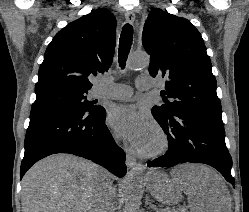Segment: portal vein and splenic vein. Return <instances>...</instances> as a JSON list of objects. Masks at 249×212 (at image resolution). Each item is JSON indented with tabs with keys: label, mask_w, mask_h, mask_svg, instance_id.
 <instances>
[{
	"label": "portal vein and splenic vein",
	"mask_w": 249,
	"mask_h": 212,
	"mask_svg": "<svg viewBox=\"0 0 249 212\" xmlns=\"http://www.w3.org/2000/svg\"><path fill=\"white\" fill-rule=\"evenodd\" d=\"M169 212H175V210H169Z\"/></svg>",
	"instance_id": "obj_1"
}]
</instances>
